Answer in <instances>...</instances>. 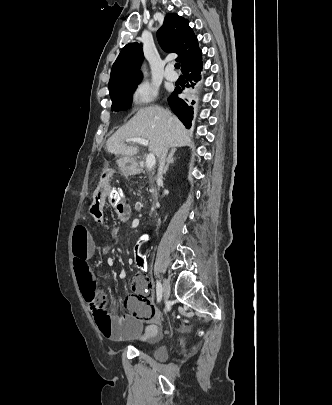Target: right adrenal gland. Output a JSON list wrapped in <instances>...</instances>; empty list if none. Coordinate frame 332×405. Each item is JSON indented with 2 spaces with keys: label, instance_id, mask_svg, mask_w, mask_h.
<instances>
[{
  "label": "right adrenal gland",
  "instance_id": "obj_1",
  "mask_svg": "<svg viewBox=\"0 0 332 405\" xmlns=\"http://www.w3.org/2000/svg\"><path fill=\"white\" fill-rule=\"evenodd\" d=\"M175 152H176V149H172L170 151V154H169L168 159H167V164H166V166L164 168V174H166V172L168 171L169 165L174 162V154H175Z\"/></svg>",
  "mask_w": 332,
  "mask_h": 405
}]
</instances>
